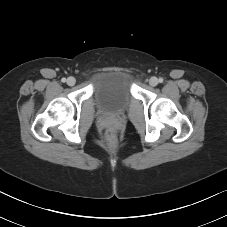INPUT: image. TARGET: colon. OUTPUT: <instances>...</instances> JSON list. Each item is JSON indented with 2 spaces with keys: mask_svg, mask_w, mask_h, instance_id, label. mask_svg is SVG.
I'll return each instance as SVG.
<instances>
[{
  "mask_svg": "<svg viewBox=\"0 0 227 227\" xmlns=\"http://www.w3.org/2000/svg\"><path fill=\"white\" fill-rule=\"evenodd\" d=\"M106 137H107L109 146L113 147L114 143H115V134H114L112 129H107L106 130Z\"/></svg>",
  "mask_w": 227,
  "mask_h": 227,
  "instance_id": "colon-1",
  "label": "colon"
}]
</instances>
